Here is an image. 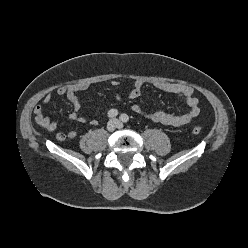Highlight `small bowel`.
Masks as SVG:
<instances>
[{
    "label": "small bowel",
    "mask_w": 248,
    "mask_h": 248,
    "mask_svg": "<svg viewBox=\"0 0 248 248\" xmlns=\"http://www.w3.org/2000/svg\"><path fill=\"white\" fill-rule=\"evenodd\" d=\"M112 86H117L119 82L117 80H112L110 82ZM91 84L84 83H76L67 86H60L57 88L56 93L59 96H65L71 102L73 106L72 112L69 114V118L73 121L79 123H85L86 118L80 114L81 111V99L79 97V93L86 91L90 88ZM153 86L164 92L170 94H176L180 98H182L187 105L189 106V111L182 115H172L163 110H155L152 112H146L140 105L134 104L131 109L133 112L137 114L144 115L148 119L153 122L160 123L169 127H180L192 122L198 115L200 114L199 108V99L194 95V90L192 87L179 83H171V82H156ZM143 87V82L140 80H136L133 83V86L129 92V97L131 99H136L141 95ZM117 100L121 99L120 95L116 96ZM52 100V94L48 93L43 97V103L48 104ZM35 114V123L47 130V131H55L57 129V122L52 120L49 116L44 113L43 107L41 105H36L34 107ZM90 124L96 126L98 121L93 119L90 121ZM77 136L76 131L70 130L67 133L58 132L56 134V138L59 141H63L66 138L74 139Z\"/></svg>",
    "instance_id": "c3829d8e"
}]
</instances>
